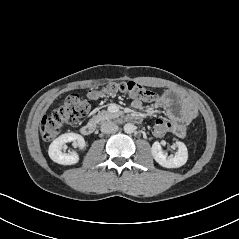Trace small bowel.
Listing matches in <instances>:
<instances>
[{
  "label": "small bowel",
  "instance_id": "1",
  "mask_svg": "<svg viewBox=\"0 0 239 239\" xmlns=\"http://www.w3.org/2000/svg\"><path fill=\"white\" fill-rule=\"evenodd\" d=\"M132 105L137 110L143 107V103L138 99H135ZM156 105L161 106L169 118L168 121L170 125L168 133H172L181 138L185 137L187 126L197 115L194 105L186 97L176 91H166L157 100Z\"/></svg>",
  "mask_w": 239,
  "mask_h": 239
}]
</instances>
